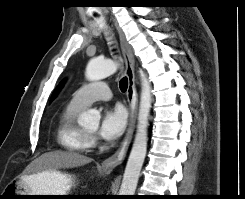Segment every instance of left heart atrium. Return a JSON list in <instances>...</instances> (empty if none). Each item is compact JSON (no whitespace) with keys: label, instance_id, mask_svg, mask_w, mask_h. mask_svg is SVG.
Returning a JSON list of instances; mask_svg holds the SVG:
<instances>
[{"label":"left heart atrium","instance_id":"left-heart-atrium-1","mask_svg":"<svg viewBox=\"0 0 245 199\" xmlns=\"http://www.w3.org/2000/svg\"><path fill=\"white\" fill-rule=\"evenodd\" d=\"M127 114L122 106L109 107L104 111L98 133L107 141H115L125 130Z\"/></svg>","mask_w":245,"mask_h":199}]
</instances>
